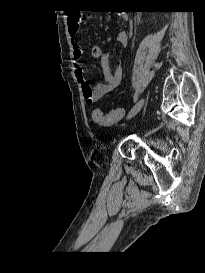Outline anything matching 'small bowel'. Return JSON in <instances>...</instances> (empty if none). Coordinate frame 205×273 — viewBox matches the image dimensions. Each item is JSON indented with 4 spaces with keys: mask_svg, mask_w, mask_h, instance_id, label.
<instances>
[{
    "mask_svg": "<svg viewBox=\"0 0 205 273\" xmlns=\"http://www.w3.org/2000/svg\"><path fill=\"white\" fill-rule=\"evenodd\" d=\"M125 17L126 15H122ZM81 23L76 20V16H70L68 18L69 34L72 41V55L74 60L79 61L83 58V48L76 40V35L79 32ZM117 42L120 45L128 44V35L126 32H121L117 36ZM91 55L94 58L100 59L101 69L105 83H97L90 85L85 77V73L82 67L77 66L75 75L78 81L82 84L83 96L87 104H92L109 92L113 91L119 84L122 78V70L120 67L113 68L111 60L108 55L99 45L94 44L91 47Z\"/></svg>",
    "mask_w": 205,
    "mask_h": 273,
    "instance_id": "obj_1",
    "label": "small bowel"
}]
</instances>
